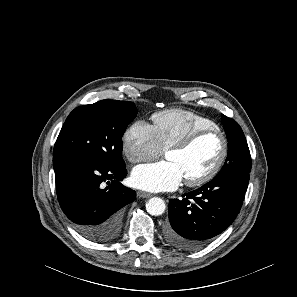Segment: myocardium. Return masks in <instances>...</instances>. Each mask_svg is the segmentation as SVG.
<instances>
[{"label":"myocardium","instance_id":"f54148a6","mask_svg":"<svg viewBox=\"0 0 297 297\" xmlns=\"http://www.w3.org/2000/svg\"><path fill=\"white\" fill-rule=\"evenodd\" d=\"M216 135L219 137L222 143V152L213 165V167L205 172L204 174L185 180V184L188 186H199L205 184L212 180L221 170L223 165L226 162V159L229 154V142L225 134L219 128H203L195 130L188 135L176 140L173 142L166 150V153L171 150H185L190 148L195 142H197L200 138L207 136V135Z\"/></svg>","mask_w":297,"mask_h":297}]
</instances>
